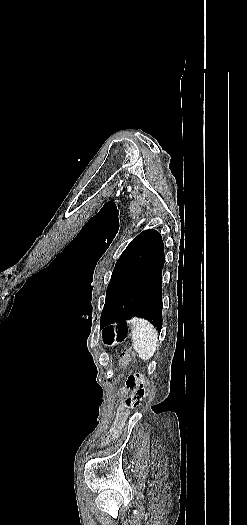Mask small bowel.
Segmentation results:
<instances>
[{
	"label": "small bowel",
	"instance_id": "obj_1",
	"mask_svg": "<svg viewBox=\"0 0 247 525\" xmlns=\"http://www.w3.org/2000/svg\"><path fill=\"white\" fill-rule=\"evenodd\" d=\"M118 431H119V427L116 424L112 427V429L110 430V433L106 436L105 441L108 442L109 440H111L114 436L118 434Z\"/></svg>",
	"mask_w": 247,
	"mask_h": 525
}]
</instances>
